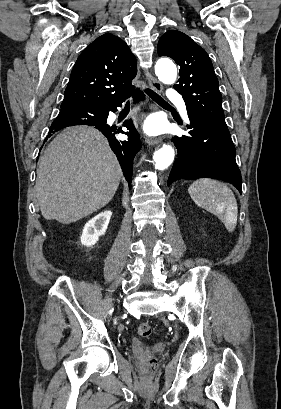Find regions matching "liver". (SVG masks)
Here are the masks:
<instances>
[{"label":"liver","mask_w":281,"mask_h":409,"mask_svg":"<svg viewBox=\"0 0 281 409\" xmlns=\"http://www.w3.org/2000/svg\"><path fill=\"white\" fill-rule=\"evenodd\" d=\"M122 170L107 138L92 126H68L40 158L36 196L42 217L63 225L106 207Z\"/></svg>","instance_id":"6515ba94"}]
</instances>
